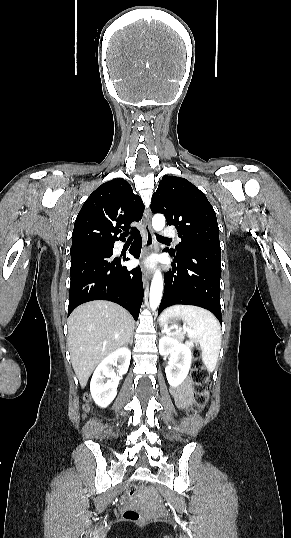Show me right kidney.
Returning <instances> with one entry per match:
<instances>
[{
    "mask_svg": "<svg viewBox=\"0 0 291 538\" xmlns=\"http://www.w3.org/2000/svg\"><path fill=\"white\" fill-rule=\"evenodd\" d=\"M130 359L131 351L126 347H121L105 357L96 367L91 379L90 391L98 406L105 408L114 400L120 376L128 371ZM112 366L117 367V373ZM105 378H110V380L106 381Z\"/></svg>",
    "mask_w": 291,
    "mask_h": 538,
    "instance_id": "right-kidney-1",
    "label": "right kidney"
}]
</instances>
